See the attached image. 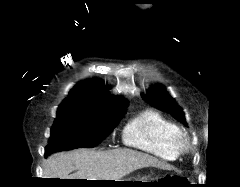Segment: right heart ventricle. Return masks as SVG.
Returning a JSON list of instances; mask_svg holds the SVG:
<instances>
[{"label":"right heart ventricle","mask_w":240,"mask_h":187,"mask_svg":"<svg viewBox=\"0 0 240 187\" xmlns=\"http://www.w3.org/2000/svg\"><path fill=\"white\" fill-rule=\"evenodd\" d=\"M179 132V127L172 120L148 109L125 126L123 142L159 159L173 161L179 157L175 146V136Z\"/></svg>","instance_id":"obj_1"}]
</instances>
